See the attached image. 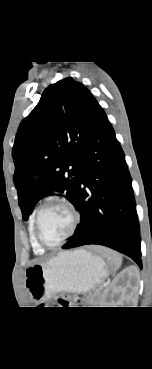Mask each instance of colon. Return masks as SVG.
<instances>
[{
  "mask_svg": "<svg viewBox=\"0 0 152 369\" xmlns=\"http://www.w3.org/2000/svg\"><path fill=\"white\" fill-rule=\"evenodd\" d=\"M53 304L58 307H71L73 306L74 301L67 295H61Z\"/></svg>",
  "mask_w": 152,
  "mask_h": 369,
  "instance_id": "5ec220e1",
  "label": "colon"
}]
</instances>
